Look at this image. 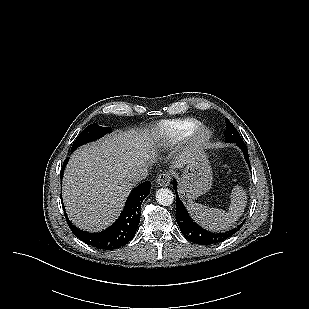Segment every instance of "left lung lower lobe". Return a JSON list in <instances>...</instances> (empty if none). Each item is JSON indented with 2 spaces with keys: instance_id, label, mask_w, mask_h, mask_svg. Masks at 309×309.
<instances>
[{
  "instance_id": "1",
  "label": "left lung lower lobe",
  "mask_w": 309,
  "mask_h": 309,
  "mask_svg": "<svg viewBox=\"0 0 309 309\" xmlns=\"http://www.w3.org/2000/svg\"><path fill=\"white\" fill-rule=\"evenodd\" d=\"M236 145L242 150L246 162L251 169L250 162H249V155L246 144L242 142H235ZM175 190L177 189V182L174 180L173 182ZM176 221L179 225V228L182 234L191 242L199 244V245H210L224 241L225 239L234 235L244 224L240 225L237 228H234L230 231L225 233H212L209 232L202 227L198 226L191 217L189 216L185 206L179 199L176 193Z\"/></svg>"
}]
</instances>
